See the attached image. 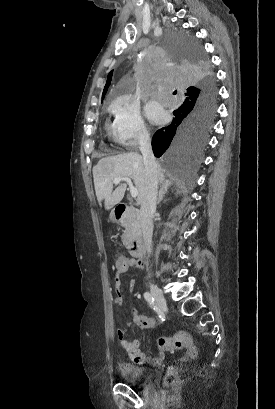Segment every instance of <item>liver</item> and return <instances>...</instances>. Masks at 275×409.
<instances>
[{
	"mask_svg": "<svg viewBox=\"0 0 275 409\" xmlns=\"http://www.w3.org/2000/svg\"><path fill=\"white\" fill-rule=\"evenodd\" d=\"M157 176L159 182H169L165 180V174L162 172L160 164H157ZM93 178L96 190L97 200L101 205L104 200L105 209H112L114 205L122 200L126 182L119 184L113 190V178L116 176H129L133 178L136 188H138V205H141V200L145 192V164L142 154L138 152H124V154H116V156H105L100 158L97 164L93 166Z\"/></svg>",
	"mask_w": 275,
	"mask_h": 409,
	"instance_id": "1",
	"label": "liver"
}]
</instances>
